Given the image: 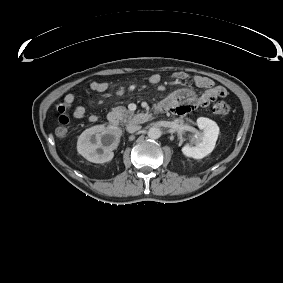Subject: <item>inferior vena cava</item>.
<instances>
[{"label":"inferior vena cava","mask_w":283,"mask_h":283,"mask_svg":"<svg viewBox=\"0 0 283 283\" xmlns=\"http://www.w3.org/2000/svg\"><path fill=\"white\" fill-rule=\"evenodd\" d=\"M140 129H141V126H140V125L132 124V123L128 124V125H127V128H126V130H127L129 133H134V132H136V131H138V130H140Z\"/></svg>","instance_id":"1"}]
</instances>
